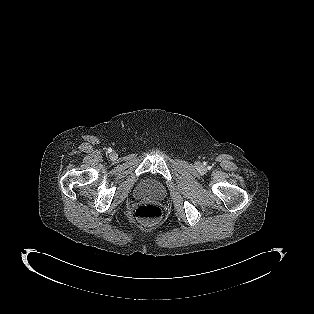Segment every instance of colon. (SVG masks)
Segmentation results:
<instances>
[{"label": "colon", "instance_id": "1", "mask_svg": "<svg viewBox=\"0 0 314 314\" xmlns=\"http://www.w3.org/2000/svg\"><path fill=\"white\" fill-rule=\"evenodd\" d=\"M135 216L142 222L152 224L158 222L162 218L163 211L157 204L144 203L136 208Z\"/></svg>", "mask_w": 314, "mask_h": 314}]
</instances>
